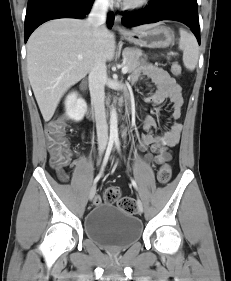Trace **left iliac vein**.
Returning <instances> with one entry per match:
<instances>
[{
	"label": "left iliac vein",
	"instance_id": "4c4485c4",
	"mask_svg": "<svg viewBox=\"0 0 231 281\" xmlns=\"http://www.w3.org/2000/svg\"><path fill=\"white\" fill-rule=\"evenodd\" d=\"M137 206H138V210L139 212H143V204H142V201L140 199H138L137 201Z\"/></svg>",
	"mask_w": 231,
	"mask_h": 281
}]
</instances>
